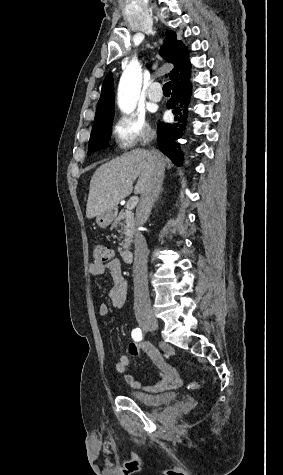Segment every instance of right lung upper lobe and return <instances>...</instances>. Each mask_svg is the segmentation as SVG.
I'll return each mask as SVG.
<instances>
[{"label": "right lung upper lobe", "mask_w": 283, "mask_h": 475, "mask_svg": "<svg viewBox=\"0 0 283 475\" xmlns=\"http://www.w3.org/2000/svg\"><path fill=\"white\" fill-rule=\"evenodd\" d=\"M160 54L166 61L174 64V69L169 74L172 82L190 71L191 65L188 58V50L181 41L176 40L175 32L167 31L164 45L160 49ZM113 90V76L108 74L104 79L97 107L114 105Z\"/></svg>", "instance_id": "cb5924a9"}]
</instances>
